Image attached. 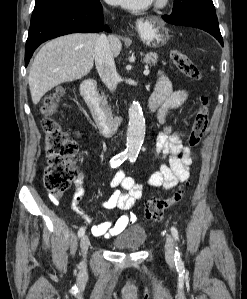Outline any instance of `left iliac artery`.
<instances>
[{"label":"left iliac artery","mask_w":247,"mask_h":299,"mask_svg":"<svg viewBox=\"0 0 247 299\" xmlns=\"http://www.w3.org/2000/svg\"><path fill=\"white\" fill-rule=\"evenodd\" d=\"M129 159H130V162H134L136 160L134 156L129 157ZM171 234L173 235L175 241L179 240L178 231H177V229L175 227H171ZM175 262L179 266L182 265V260H181V257H180V253H179L178 247H176V250H175Z\"/></svg>","instance_id":"obj_1"}]
</instances>
